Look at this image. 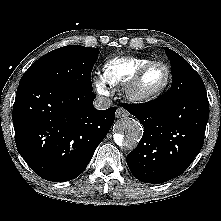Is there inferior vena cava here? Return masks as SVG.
Returning <instances> with one entry per match:
<instances>
[{"label":"inferior vena cava","mask_w":221,"mask_h":221,"mask_svg":"<svg viewBox=\"0 0 221 221\" xmlns=\"http://www.w3.org/2000/svg\"><path fill=\"white\" fill-rule=\"evenodd\" d=\"M111 106V100L106 97H98L94 101V107L99 110L108 109Z\"/></svg>","instance_id":"602c4592"}]
</instances>
